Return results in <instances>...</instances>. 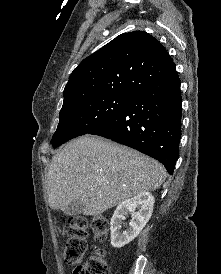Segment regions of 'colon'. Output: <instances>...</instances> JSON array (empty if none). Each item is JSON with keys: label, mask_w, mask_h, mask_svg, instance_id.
I'll list each match as a JSON object with an SVG mask.
<instances>
[{"label": "colon", "mask_w": 221, "mask_h": 274, "mask_svg": "<svg viewBox=\"0 0 221 274\" xmlns=\"http://www.w3.org/2000/svg\"><path fill=\"white\" fill-rule=\"evenodd\" d=\"M88 226L89 221L83 215H76L69 219L67 225L68 240L64 250L65 261L68 264L76 265L73 274H110L108 262L102 251H97L85 263H81L87 249ZM90 226L96 240L103 241L107 238L109 221L106 217H94Z\"/></svg>", "instance_id": "5ec220e1"}]
</instances>
